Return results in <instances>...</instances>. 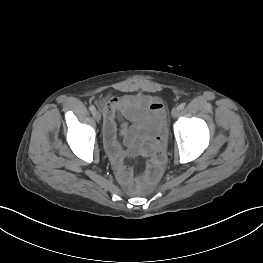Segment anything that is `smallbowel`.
I'll return each instance as SVG.
<instances>
[{"label": "small bowel", "mask_w": 263, "mask_h": 263, "mask_svg": "<svg viewBox=\"0 0 263 263\" xmlns=\"http://www.w3.org/2000/svg\"><path fill=\"white\" fill-rule=\"evenodd\" d=\"M139 97L132 95L110 96L100 102L104 114V139L105 147L111 159L113 168L118 180L124 186H130L132 183L133 172L131 168L125 165L127 156L143 155L149 158L148 165L152 163L163 164L165 161L164 145L165 133L159 122L164 117L165 109L162 101L156 97L145 96V101L156 122H158L147 134V142L141 144L131 140L126 125L123 123L121 134L126 138L128 149H124L118 141V132L116 118L121 117L127 120H134L130 112L131 105Z\"/></svg>", "instance_id": "small-bowel-1"}]
</instances>
